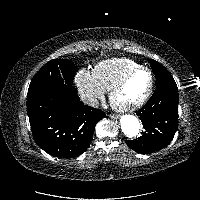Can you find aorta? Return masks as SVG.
Wrapping results in <instances>:
<instances>
[{"mask_svg": "<svg viewBox=\"0 0 200 200\" xmlns=\"http://www.w3.org/2000/svg\"><path fill=\"white\" fill-rule=\"evenodd\" d=\"M120 125L123 133L127 137H135L140 130V122L137 117L133 115H123L120 119Z\"/></svg>", "mask_w": 200, "mask_h": 200, "instance_id": "1", "label": "aorta"}]
</instances>
